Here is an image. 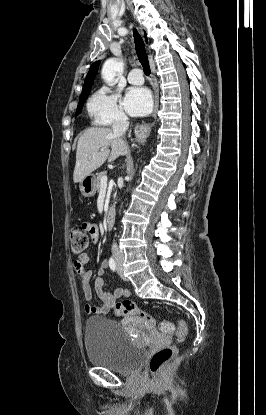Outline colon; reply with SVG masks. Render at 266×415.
<instances>
[{
	"instance_id": "5ec220e1",
	"label": "colon",
	"mask_w": 266,
	"mask_h": 415,
	"mask_svg": "<svg viewBox=\"0 0 266 415\" xmlns=\"http://www.w3.org/2000/svg\"><path fill=\"white\" fill-rule=\"evenodd\" d=\"M70 249L75 255H80L88 247L89 239L86 230L74 228L69 236ZM115 313L118 316H139L147 324L153 325L159 332L165 335H174L176 343L163 347L151 356L149 361V369L153 375L161 374L170 364L177 353V345L182 343L187 335V325L183 320L174 325L168 320H156L152 315L140 309L137 304L131 300H123L116 303Z\"/></svg>"
}]
</instances>
